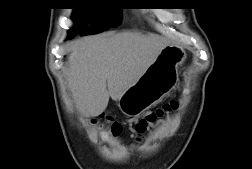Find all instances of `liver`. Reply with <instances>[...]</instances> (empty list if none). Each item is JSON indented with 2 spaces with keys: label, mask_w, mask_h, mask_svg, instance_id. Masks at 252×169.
<instances>
[{
  "label": "liver",
  "mask_w": 252,
  "mask_h": 169,
  "mask_svg": "<svg viewBox=\"0 0 252 169\" xmlns=\"http://www.w3.org/2000/svg\"><path fill=\"white\" fill-rule=\"evenodd\" d=\"M167 45L161 36L137 32L98 35L74 44L67 76L77 110L89 117L101 114L109 97L119 101Z\"/></svg>",
  "instance_id": "1"
}]
</instances>
